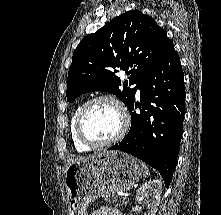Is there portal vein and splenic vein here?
I'll use <instances>...</instances> for the list:
<instances>
[{"label":"portal vein and splenic vein","mask_w":221,"mask_h":215,"mask_svg":"<svg viewBox=\"0 0 221 215\" xmlns=\"http://www.w3.org/2000/svg\"><path fill=\"white\" fill-rule=\"evenodd\" d=\"M127 197L126 196H123V200H125Z\"/></svg>","instance_id":"1"}]
</instances>
